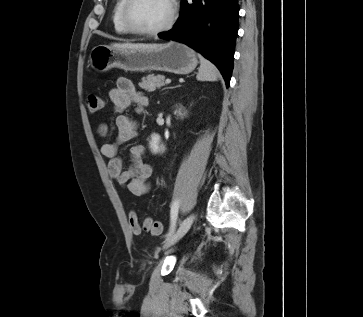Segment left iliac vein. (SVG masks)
<instances>
[{"mask_svg": "<svg viewBox=\"0 0 363 317\" xmlns=\"http://www.w3.org/2000/svg\"><path fill=\"white\" fill-rule=\"evenodd\" d=\"M194 220H195V215L194 214L189 215L180 224V226L177 229V231L175 232V234L173 236H171V238H169L165 242L164 248H168V247L174 245L176 242H178L187 233V231L190 229V227L192 226Z\"/></svg>", "mask_w": 363, "mask_h": 317, "instance_id": "obj_1", "label": "left iliac vein"}]
</instances>
